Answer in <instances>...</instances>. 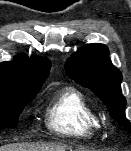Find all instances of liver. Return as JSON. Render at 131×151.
<instances>
[{
  "instance_id": "obj_1",
  "label": "liver",
  "mask_w": 131,
  "mask_h": 151,
  "mask_svg": "<svg viewBox=\"0 0 131 151\" xmlns=\"http://www.w3.org/2000/svg\"><path fill=\"white\" fill-rule=\"evenodd\" d=\"M69 149L71 148L62 144H11L1 147L0 151H67Z\"/></svg>"
}]
</instances>
